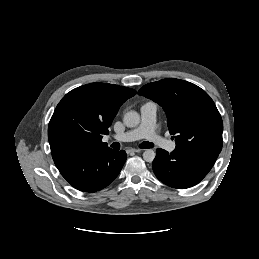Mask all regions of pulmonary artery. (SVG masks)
<instances>
[{
	"mask_svg": "<svg viewBox=\"0 0 259 259\" xmlns=\"http://www.w3.org/2000/svg\"><path fill=\"white\" fill-rule=\"evenodd\" d=\"M141 122L138 127L125 133L115 135L114 138L119 142H130L145 138L157 146L172 152L176 144L164 139L156 131L157 105L154 102H146L140 108Z\"/></svg>",
	"mask_w": 259,
	"mask_h": 259,
	"instance_id": "obj_1",
	"label": "pulmonary artery"
}]
</instances>
